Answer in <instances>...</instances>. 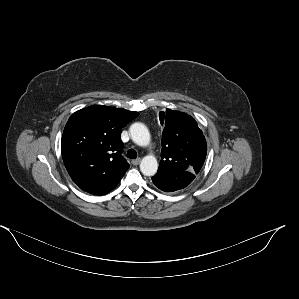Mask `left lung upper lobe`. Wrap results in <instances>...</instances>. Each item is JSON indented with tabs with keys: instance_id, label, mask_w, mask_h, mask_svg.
Segmentation results:
<instances>
[{
	"instance_id": "1",
	"label": "left lung upper lobe",
	"mask_w": 299,
	"mask_h": 299,
	"mask_svg": "<svg viewBox=\"0 0 299 299\" xmlns=\"http://www.w3.org/2000/svg\"><path fill=\"white\" fill-rule=\"evenodd\" d=\"M162 133L158 172H189L195 176L204 164L207 144L197 122L188 114L167 109L159 114Z\"/></svg>"
}]
</instances>
